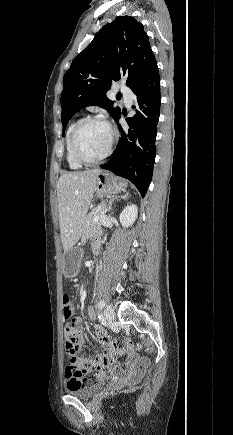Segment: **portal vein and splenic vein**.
Instances as JSON below:
<instances>
[{
	"instance_id": "18ae733b",
	"label": "portal vein and splenic vein",
	"mask_w": 233,
	"mask_h": 435,
	"mask_svg": "<svg viewBox=\"0 0 233 435\" xmlns=\"http://www.w3.org/2000/svg\"><path fill=\"white\" fill-rule=\"evenodd\" d=\"M107 209L102 211L97 217H95L92 221L93 222H97L99 220V218H103L105 213H106Z\"/></svg>"
}]
</instances>
